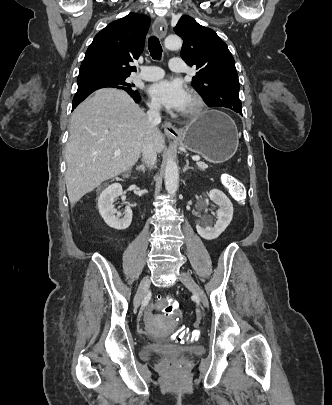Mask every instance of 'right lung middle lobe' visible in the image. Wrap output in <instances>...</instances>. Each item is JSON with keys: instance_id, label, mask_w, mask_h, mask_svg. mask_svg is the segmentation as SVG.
<instances>
[{"instance_id": "1", "label": "right lung middle lobe", "mask_w": 332, "mask_h": 405, "mask_svg": "<svg viewBox=\"0 0 332 405\" xmlns=\"http://www.w3.org/2000/svg\"><path fill=\"white\" fill-rule=\"evenodd\" d=\"M130 75L117 73H90L78 76V90H84L95 86L114 87L125 91L138 93L135 85L126 82Z\"/></svg>"}]
</instances>
